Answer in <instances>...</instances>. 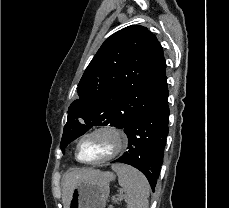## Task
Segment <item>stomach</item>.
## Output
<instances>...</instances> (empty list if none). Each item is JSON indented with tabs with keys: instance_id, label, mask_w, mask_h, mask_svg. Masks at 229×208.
<instances>
[{
	"instance_id": "stomach-1",
	"label": "stomach",
	"mask_w": 229,
	"mask_h": 208,
	"mask_svg": "<svg viewBox=\"0 0 229 208\" xmlns=\"http://www.w3.org/2000/svg\"><path fill=\"white\" fill-rule=\"evenodd\" d=\"M112 180V172H103L100 178L80 182L70 196L69 208H106Z\"/></svg>"
}]
</instances>
